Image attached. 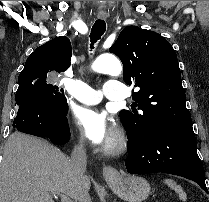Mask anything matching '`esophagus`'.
I'll return each mask as SVG.
<instances>
[{
  "label": "esophagus",
  "instance_id": "obj_1",
  "mask_svg": "<svg viewBox=\"0 0 209 202\" xmlns=\"http://www.w3.org/2000/svg\"><path fill=\"white\" fill-rule=\"evenodd\" d=\"M108 17V13L106 12H99L97 15L98 19L105 20ZM103 177L107 182L116 179L119 176L118 171L111 165H104L103 166Z\"/></svg>",
  "mask_w": 209,
  "mask_h": 202
}]
</instances>
